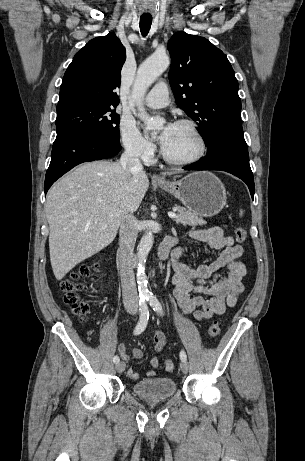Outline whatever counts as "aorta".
I'll use <instances>...</instances> for the list:
<instances>
[{
	"label": "aorta",
	"mask_w": 305,
	"mask_h": 461,
	"mask_svg": "<svg viewBox=\"0 0 305 461\" xmlns=\"http://www.w3.org/2000/svg\"><path fill=\"white\" fill-rule=\"evenodd\" d=\"M169 57L167 55H153L144 61L138 68L137 78L132 90L133 100L137 103V116L144 121L146 128L154 133L159 130L164 124V119L160 117H150L142 106V99L148 87L167 69L169 65ZM153 232L147 231L141 238L137 248V284L139 294L148 296L147 276L145 274V262L147 256L153 246Z\"/></svg>",
	"instance_id": "aorta-1"
}]
</instances>
